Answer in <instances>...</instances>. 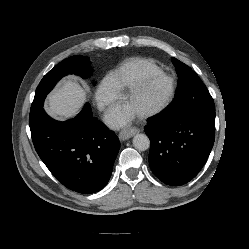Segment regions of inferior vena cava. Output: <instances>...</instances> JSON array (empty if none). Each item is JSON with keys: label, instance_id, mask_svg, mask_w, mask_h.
<instances>
[{"label": "inferior vena cava", "instance_id": "602c4592", "mask_svg": "<svg viewBox=\"0 0 249 249\" xmlns=\"http://www.w3.org/2000/svg\"><path fill=\"white\" fill-rule=\"evenodd\" d=\"M104 106H105V103H104V102H100V103L98 104V108H99L100 110H103V109H104Z\"/></svg>", "mask_w": 249, "mask_h": 249}]
</instances>
